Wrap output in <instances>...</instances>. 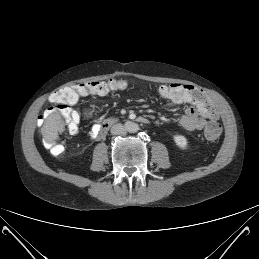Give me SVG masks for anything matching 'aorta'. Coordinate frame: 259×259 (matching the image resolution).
I'll return each mask as SVG.
<instances>
[{
	"mask_svg": "<svg viewBox=\"0 0 259 259\" xmlns=\"http://www.w3.org/2000/svg\"><path fill=\"white\" fill-rule=\"evenodd\" d=\"M126 130L131 133H135L139 130V126L134 122H128L126 124Z\"/></svg>",
	"mask_w": 259,
	"mask_h": 259,
	"instance_id": "aorta-1",
	"label": "aorta"
}]
</instances>
